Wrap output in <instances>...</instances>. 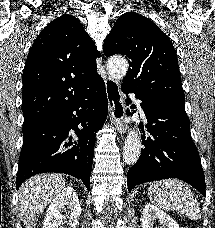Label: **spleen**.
I'll list each match as a JSON object with an SVG mask.
<instances>
[{
	"instance_id": "spleen-1",
	"label": "spleen",
	"mask_w": 215,
	"mask_h": 228,
	"mask_svg": "<svg viewBox=\"0 0 215 228\" xmlns=\"http://www.w3.org/2000/svg\"><path fill=\"white\" fill-rule=\"evenodd\" d=\"M148 194L150 202L162 210H174L189 220H201V208L194 194L181 180L153 182Z\"/></svg>"
}]
</instances>
